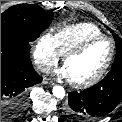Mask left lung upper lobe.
Masks as SVG:
<instances>
[{
    "mask_svg": "<svg viewBox=\"0 0 122 122\" xmlns=\"http://www.w3.org/2000/svg\"><path fill=\"white\" fill-rule=\"evenodd\" d=\"M110 31L112 32V30ZM113 37L116 43V56L111 69L118 66H122V39L116 34H113Z\"/></svg>",
    "mask_w": 122,
    "mask_h": 122,
    "instance_id": "obj_1",
    "label": "left lung upper lobe"
}]
</instances>
